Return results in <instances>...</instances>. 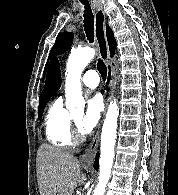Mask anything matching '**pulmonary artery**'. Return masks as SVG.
<instances>
[{
    "label": "pulmonary artery",
    "instance_id": "obj_1",
    "mask_svg": "<svg viewBox=\"0 0 178 195\" xmlns=\"http://www.w3.org/2000/svg\"><path fill=\"white\" fill-rule=\"evenodd\" d=\"M82 84L87 88H96L99 84V75L95 70H88L82 77Z\"/></svg>",
    "mask_w": 178,
    "mask_h": 195
}]
</instances>
